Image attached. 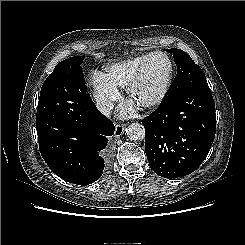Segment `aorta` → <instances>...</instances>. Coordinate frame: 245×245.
<instances>
[{
    "label": "aorta",
    "instance_id": "obj_1",
    "mask_svg": "<svg viewBox=\"0 0 245 245\" xmlns=\"http://www.w3.org/2000/svg\"><path fill=\"white\" fill-rule=\"evenodd\" d=\"M127 137L131 141L142 140L145 137L144 126L140 123H131L126 128Z\"/></svg>",
    "mask_w": 245,
    "mask_h": 245
}]
</instances>
